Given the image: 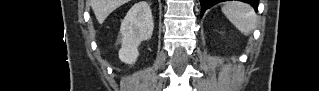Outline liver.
Returning <instances> with one entry per match:
<instances>
[{"instance_id": "obj_1", "label": "liver", "mask_w": 319, "mask_h": 91, "mask_svg": "<svg viewBox=\"0 0 319 91\" xmlns=\"http://www.w3.org/2000/svg\"><path fill=\"white\" fill-rule=\"evenodd\" d=\"M127 2L128 0H89V4L100 24L110 13Z\"/></svg>"}]
</instances>
